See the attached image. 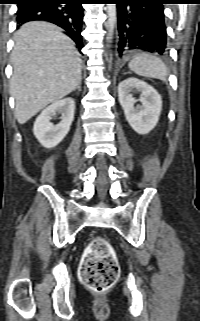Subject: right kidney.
Returning <instances> with one entry per match:
<instances>
[{
	"mask_svg": "<svg viewBox=\"0 0 200 321\" xmlns=\"http://www.w3.org/2000/svg\"><path fill=\"white\" fill-rule=\"evenodd\" d=\"M75 101L68 97L54 101L36 118L33 133L45 148L57 146L68 134L74 119ZM56 112L61 113V122L53 125L50 120Z\"/></svg>",
	"mask_w": 200,
	"mask_h": 321,
	"instance_id": "right-kidney-1",
	"label": "right kidney"
}]
</instances>
